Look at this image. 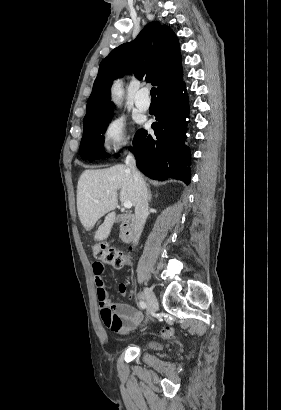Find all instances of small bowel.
<instances>
[{
    "label": "small bowel",
    "mask_w": 281,
    "mask_h": 410,
    "mask_svg": "<svg viewBox=\"0 0 281 410\" xmlns=\"http://www.w3.org/2000/svg\"><path fill=\"white\" fill-rule=\"evenodd\" d=\"M105 268V264L99 261L94 262L92 265L98 305L101 309V313L108 311L121 320V326L113 330V332L119 335H124L138 325L142 319V313L130 304L112 302L103 281ZM118 289L121 295L128 294L125 284H120Z\"/></svg>",
    "instance_id": "obj_1"
}]
</instances>
